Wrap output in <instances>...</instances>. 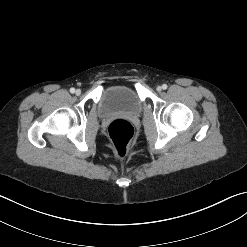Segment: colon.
<instances>
[{
  "label": "colon",
  "instance_id": "obj_1",
  "mask_svg": "<svg viewBox=\"0 0 247 247\" xmlns=\"http://www.w3.org/2000/svg\"><path fill=\"white\" fill-rule=\"evenodd\" d=\"M108 138L117 157H125L134 139V129L130 122L118 119L108 127Z\"/></svg>",
  "mask_w": 247,
  "mask_h": 247
}]
</instances>
